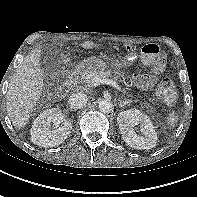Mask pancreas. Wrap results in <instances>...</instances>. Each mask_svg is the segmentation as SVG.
I'll use <instances>...</instances> for the list:
<instances>
[{
  "mask_svg": "<svg viewBox=\"0 0 197 197\" xmlns=\"http://www.w3.org/2000/svg\"><path fill=\"white\" fill-rule=\"evenodd\" d=\"M95 77L99 78H112L113 80H117L118 76L112 75V73L109 70H86L80 79L81 83H85L86 86L90 87L92 86V80Z\"/></svg>",
  "mask_w": 197,
  "mask_h": 197,
  "instance_id": "pancreas-1",
  "label": "pancreas"
}]
</instances>
